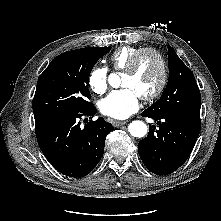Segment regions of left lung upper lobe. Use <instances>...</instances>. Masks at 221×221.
I'll return each instance as SVG.
<instances>
[{
  "mask_svg": "<svg viewBox=\"0 0 221 221\" xmlns=\"http://www.w3.org/2000/svg\"><path fill=\"white\" fill-rule=\"evenodd\" d=\"M169 79L161 98L145 111L155 117L200 116L201 95L190 69L168 46Z\"/></svg>",
  "mask_w": 221,
  "mask_h": 221,
  "instance_id": "obj_1",
  "label": "left lung upper lobe"
}]
</instances>
